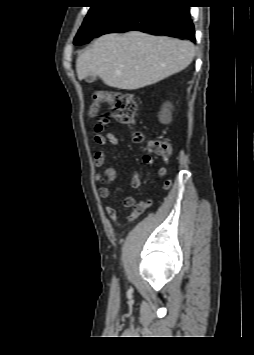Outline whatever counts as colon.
I'll return each instance as SVG.
<instances>
[{
	"mask_svg": "<svg viewBox=\"0 0 254 355\" xmlns=\"http://www.w3.org/2000/svg\"><path fill=\"white\" fill-rule=\"evenodd\" d=\"M109 104L112 107L113 116L121 124L134 125L136 113V101L134 94L125 90L114 89H98L92 94V104L90 106V114L95 116L98 114L102 104ZM103 118L99 122V129L104 126ZM108 120V119H107ZM133 141L135 143H146L148 152L163 158L171 155V144L168 138L147 139L141 131L133 132ZM172 185V181L167 179L163 188L168 189Z\"/></svg>",
	"mask_w": 254,
	"mask_h": 355,
	"instance_id": "1",
	"label": "colon"
}]
</instances>
